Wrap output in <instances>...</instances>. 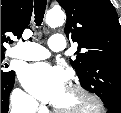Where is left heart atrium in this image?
Listing matches in <instances>:
<instances>
[{
	"label": "left heart atrium",
	"instance_id": "1",
	"mask_svg": "<svg viewBox=\"0 0 121 113\" xmlns=\"http://www.w3.org/2000/svg\"><path fill=\"white\" fill-rule=\"evenodd\" d=\"M20 80L36 98L55 105L66 90L62 71L44 63L28 66L21 72Z\"/></svg>",
	"mask_w": 121,
	"mask_h": 113
}]
</instances>
